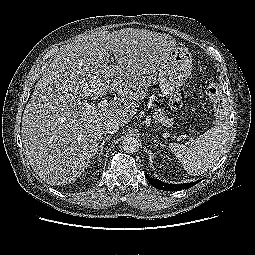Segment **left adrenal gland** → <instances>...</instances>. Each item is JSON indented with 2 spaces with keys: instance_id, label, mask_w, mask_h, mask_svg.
<instances>
[{
  "instance_id": "left-adrenal-gland-1",
  "label": "left adrenal gland",
  "mask_w": 255,
  "mask_h": 255,
  "mask_svg": "<svg viewBox=\"0 0 255 255\" xmlns=\"http://www.w3.org/2000/svg\"><path fill=\"white\" fill-rule=\"evenodd\" d=\"M154 141H155L156 143L160 144V143L158 142V140H156L155 138H154ZM160 145H161V144H160Z\"/></svg>"
}]
</instances>
